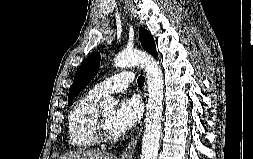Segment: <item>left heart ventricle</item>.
<instances>
[{"label": "left heart ventricle", "instance_id": "left-heart-ventricle-1", "mask_svg": "<svg viewBox=\"0 0 253 159\" xmlns=\"http://www.w3.org/2000/svg\"><path fill=\"white\" fill-rule=\"evenodd\" d=\"M102 116L104 118L105 124L108 128V130L112 133V134H118L113 126V118L115 115V109L114 108H110V109H104L101 111Z\"/></svg>", "mask_w": 253, "mask_h": 159}]
</instances>
